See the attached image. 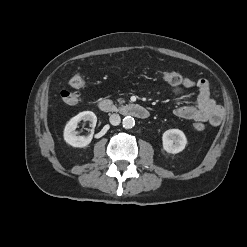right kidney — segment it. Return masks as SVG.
<instances>
[{
	"instance_id": "ca27d5eb",
	"label": "right kidney",
	"mask_w": 247,
	"mask_h": 247,
	"mask_svg": "<svg viewBox=\"0 0 247 247\" xmlns=\"http://www.w3.org/2000/svg\"><path fill=\"white\" fill-rule=\"evenodd\" d=\"M81 120L90 121L92 123V128H94L96 126L97 117L92 111H83L70 119V121L66 124L64 128L63 136L66 143L73 147H86L90 144L92 140V134L88 136L77 135V124Z\"/></svg>"
}]
</instances>
